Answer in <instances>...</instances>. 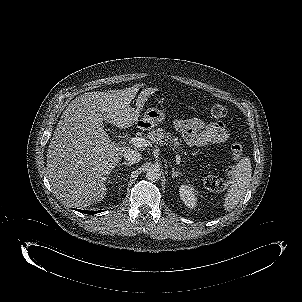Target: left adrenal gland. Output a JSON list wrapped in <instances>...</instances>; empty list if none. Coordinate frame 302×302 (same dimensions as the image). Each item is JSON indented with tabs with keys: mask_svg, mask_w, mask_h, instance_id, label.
<instances>
[{
	"mask_svg": "<svg viewBox=\"0 0 302 302\" xmlns=\"http://www.w3.org/2000/svg\"><path fill=\"white\" fill-rule=\"evenodd\" d=\"M172 169V178L178 177V175H180L181 173L177 170H175L173 167Z\"/></svg>",
	"mask_w": 302,
	"mask_h": 302,
	"instance_id": "a2214340",
	"label": "left adrenal gland"
}]
</instances>
